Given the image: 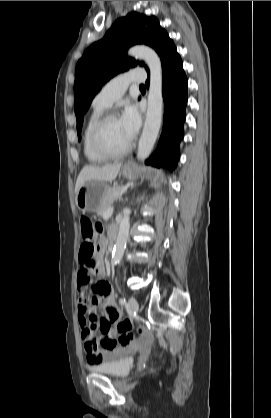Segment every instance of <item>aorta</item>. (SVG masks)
Wrapping results in <instances>:
<instances>
[{"label":"aorta","instance_id":"obj_1","mask_svg":"<svg viewBox=\"0 0 271 418\" xmlns=\"http://www.w3.org/2000/svg\"><path fill=\"white\" fill-rule=\"evenodd\" d=\"M128 55L143 59L150 70V85L148 91V106L142 135L139 140L137 158L144 161L151 153L158 137L162 122V65L158 54L151 48L138 45L130 48ZM130 226V209L123 210V218L119 225L117 240L112 252V263H120L126 247Z\"/></svg>","mask_w":271,"mask_h":418}]
</instances>
